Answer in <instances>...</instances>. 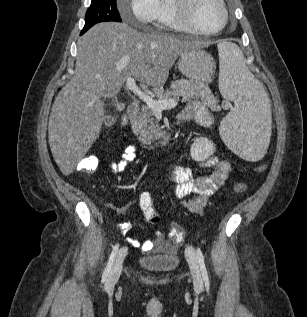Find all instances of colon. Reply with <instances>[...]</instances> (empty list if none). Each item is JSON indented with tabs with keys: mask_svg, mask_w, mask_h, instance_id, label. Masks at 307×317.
<instances>
[{
	"mask_svg": "<svg viewBox=\"0 0 307 317\" xmlns=\"http://www.w3.org/2000/svg\"><path fill=\"white\" fill-rule=\"evenodd\" d=\"M119 125L121 127H125L127 125V120L125 117H122L119 121ZM98 168V158L95 155H87L85 156L77 166L79 172L85 175H93L97 171ZM266 166L264 164L258 165L256 167L257 172L265 171ZM248 188V185L245 182H238L234 185L233 191L235 194H241L245 192ZM140 208L147 222L151 224H156L159 222L160 217L158 212L154 207V203L152 197L149 193H142L140 196ZM171 236L176 238L177 241H182L185 236V232L179 228L177 225H173L170 230Z\"/></svg>",
	"mask_w": 307,
	"mask_h": 317,
	"instance_id": "colon-1",
	"label": "colon"
}]
</instances>
